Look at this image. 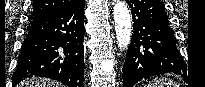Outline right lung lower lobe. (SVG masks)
Segmentation results:
<instances>
[{"mask_svg":"<svg viewBox=\"0 0 205 87\" xmlns=\"http://www.w3.org/2000/svg\"><path fill=\"white\" fill-rule=\"evenodd\" d=\"M84 0L32 19L22 44L13 86L31 76L47 77L68 87H83Z\"/></svg>","mask_w":205,"mask_h":87,"instance_id":"right-lung-lower-lobe-1","label":"right lung lower lobe"}]
</instances>
